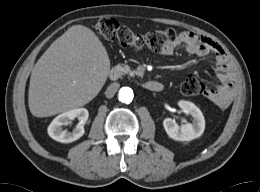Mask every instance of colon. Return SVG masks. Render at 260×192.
Listing matches in <instances>:
<instances>
[{
    "label": "colon",
    "instance_id": "1",
    "mask_svg": "<svg viewBox=\"0 0 260 192\" xmlns=\"http://www.w3.org/2000/svg\"><path fill=\"white\" fill-rule=\"evenodd\" d=\"M95 28L98 34L107 40H115L121 45L134 49L148 48L158 52L172 46L181 35L174 29L152 30L139 34L113 18L99 19ZM181 90L185 95L190 96L204 93L205 87L197 78L189 76L182 83Z\"/></svg>",
    "mask_w": 260,
    "mask_h": 192
}]
</instances>
